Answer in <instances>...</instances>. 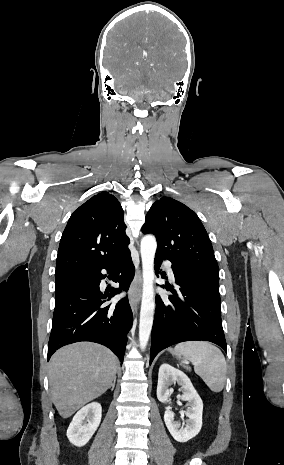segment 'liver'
<instances>
[{"instance_id": "obj_1", "label": "liver", "mask_w": 284, "mask_h": 465, "mask_svg": "<svg viewBox=\"0 0 284 465\" xmlns=\"http://www.w3.org/2000/svg\"><path fill=\"white\" fill-rule=\"evenodd\" d=\"M49 365L52 403L63 419L110 389L117 369L115 355L94 343L63 347Z\"/></svg>"}]
</instances>
